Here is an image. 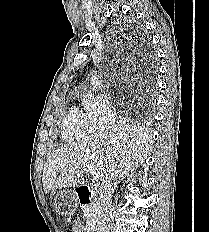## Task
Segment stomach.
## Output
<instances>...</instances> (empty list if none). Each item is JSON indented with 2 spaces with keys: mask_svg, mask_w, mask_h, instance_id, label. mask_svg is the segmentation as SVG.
I'll use <instances>...</instances> for the list:
<instances>
[{
  "mask_svg": "<svg viewBox=\"0 0 209 232\" xmlns=\"http://www.w3.org/2000/svg\"><path fill=\"white\" fill-rule=\"evenodd\" d=\"M56 203L57 214H62L65 221H78L77 209L75 206H79L77 194L75 191H62L57 194V198H54Z\"/></svg>",
  "mask_w": 209,
  "mask_h": 232,
  "instance_id": "0dacf381",
  "label": "stomach"
}]
</instances>
